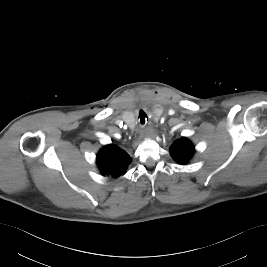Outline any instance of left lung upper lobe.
Listing matches in <instances>:
<instances>
[{
    "label": "left lung upper lobe",
    "instance_id": "5c2ea615",
    "mask_svg": "<svg viewBox=\"0 0 267 267\" xmlns=\"http://www.w3.org/2000/svg\"><path fill=\"white\" fill-rule=\"evenodd\" d=\"M195 152L193 144L185 137L175 141L170 147V154L179 164H186Z\"/></svg>",
    "mask_w": 267,
    "mask_h": 267
}]
</instances>
